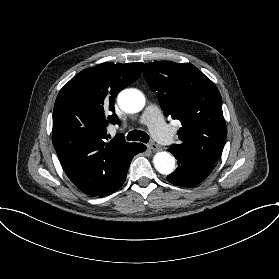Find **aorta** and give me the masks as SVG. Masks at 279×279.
Instances as JSON below:
<instances>
[{"mask_svg": "<svg viewBox=\"0 0 279 279\" xmlns=\"http://www.w3.org/2000/svg\"><path fill=\"white\" fill-rule=\"evenodd\" d=\"M145 96L137 89L122 90L118 95V105L126 113H137L145 106ZM155 169L164 175L171 174L175 169L174 157L166 151L158 152L153 158Z\"/></svg>", "mask_w": 279, "mask_h": 279, "instance_id": "1", "label": "aorta"}]
</instances>
